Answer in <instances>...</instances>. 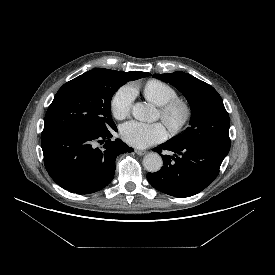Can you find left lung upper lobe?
<instances>
[{
  "label": "left lung upper lobe",
  "mask_w": 275,
  "mask_h": 275,
  "mask_svg": "<svg viewBox=\"0 0 275 275\" xmlns=\"http://www.w3.org/2000/svg\"><path fill=\"white\" fill-rule=\"evenodd\" d=\"M153 77L175 86L191 107L189 127L169 142L201 144L229 151V115L222 98L212 86L181 71L154 74Z\"/></svg>",
  "instance_id": "5c2ea615"
}]
</instances>
